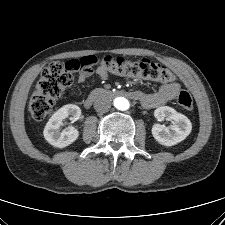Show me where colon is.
<instances>
[{
    "mask_svg": "<svg viewBox=\"0 0 225 225\" xmlns=\"http://www.w3.org/2000/svg\"><path fill=\"white\" fill-rule=\"evenodd\" d=\"M95 65H100L108 73L119 76L138 77L163 83H170L175 79L168 68L159 64L146 61L131 62L111 55H104L100 59L95 56H85L68 62L53 61L42 71L36 82L29 101L32 117L35 120H42L52 112L55 100L71 85L73 71L87 70ZM177 101L183 110H192L193 101L187 91H179Z\"/></svg>",
    "mask_w": 225,
    "mask_h": 225,
    "instance_id": "5ec220e1",
    "label": "colon"
}]
</instances>
